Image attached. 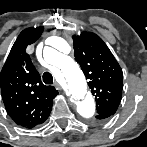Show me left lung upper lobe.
Masks as SVG:
<instances>
[{"label": "left lung upper lobe", "instance_id": "5c2ea615", "mask_svg": "<svg viewBox=\"0 0 147 147\" xmlns=\"http://www.w3.org/2000/svg\"><path fill=\"white\" fill-rule=\"evenodd\" d=\"M75 60L96 101L97 119L115 114L121 101L123 73L104 41L92 32L73 36Z\"/></svg>", "mask_w": 147, "mask_h": 147}]
</instances>
